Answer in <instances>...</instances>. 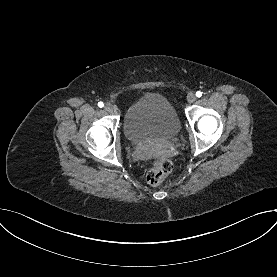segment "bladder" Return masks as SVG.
<instances>
[{
  "mask_svg": "<svg viewBox=\"0 0 277 277\" xmlns=\"http://www.w3.org/2000/svg\"><path fill=\"white\" fill-rule=\"evenodd\" d=\"M123 129L125 136L134 143L164 141L178 135L181 122L165 96L148 93L127 108Z\"/></svg>",
  "mask_w": 277,
  "mask_h": 277,
  "instance_id": "31cf9c89",
  "label": "bladder"
}]
</instances>
